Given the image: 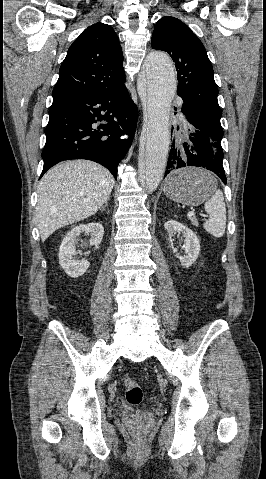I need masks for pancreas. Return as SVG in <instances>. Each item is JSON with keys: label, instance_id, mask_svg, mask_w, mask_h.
Masks as SVG:
<instances>
[{"label": "pancreas", "instance_id": "cf45deb5", "mask_svg": "<svg viewBox=\"0 0 266 479\" xmlns=\"http://www.w3.org/2000/svg\"><path fill=\"white\" fill-rule=\"evenodd\" d=\"M190 221L194 226H198V220L195 217H190Z\"/></svg>", "mask_w": 266, "mask_h": 479}]
</instances>
